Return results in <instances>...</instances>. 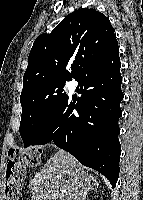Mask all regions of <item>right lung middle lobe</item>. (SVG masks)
<instances>
[{"label": "right lung middle lobe", "instance_id": "dd1d6c3e", "mask_svg": "<svg viewBox=\"0 0 143 200\" xmlns=\"http://www.w3.org/2000/svg\"><path fill=\"white\" fill-rule=\"evenodd\" d=\"M66 81H48L22 91L19 131L24 147L31 145L43 126L68 96L64 88Z\"/></svg>", "mask_w": 143, "mask_h": 200}]
</instances>
